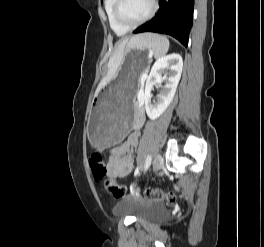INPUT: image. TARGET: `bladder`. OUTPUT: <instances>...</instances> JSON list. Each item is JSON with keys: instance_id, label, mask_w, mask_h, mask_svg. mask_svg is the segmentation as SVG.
<instances>
[{"instance_id": "31cf9c89", "label": "bladder", "mask_w": 264, "mask_h": 247, "mask_svg": "<svg viewBox=\"0 0 264 247\" xmlns=\"http://www.w3.org/2000/svg\"><path fill=\"white\" fill-rule=\"evenodd\" d=\"M114 212L119 215H133L139 220L154 221L164 217L165 211L155 203H141L130 199L118 202Z\"/></svg>"}]
</instances>
